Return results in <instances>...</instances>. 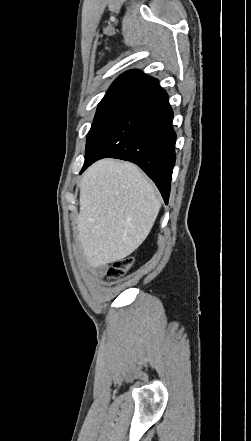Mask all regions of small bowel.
<instances>
[{
	"label": "small bowel",
	"mask_w": 251,
	"mask_h": 441,
	"mask_svg": "<svg viewBox=\"0 0 251 441\" xmlns=\"http://www.w3.org/2000/svg\"><path fill=\"white\" fill-rule=\"evenodd\" d=\"M106 268H107L106 264L97 265L95 267V273H94L95 277H100L101 275H103Z\"/></svg>",
	"instance_id": "small-bowel-1"
}]
</instances>
